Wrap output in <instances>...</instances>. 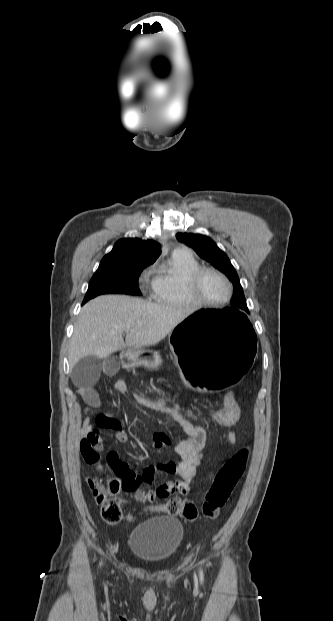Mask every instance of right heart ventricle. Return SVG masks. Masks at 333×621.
Segmentation results:
<instances>
[{"label": "right heart ventricle", "instance_id": "1", "mask_svg": "<svg viewBox=\"0 0 333 621\" xmlns=\"http://www.w3.org/2000/svg\"><path fill=\"white\" fill-rule=\"evenodd\" d=\"M200 268L187 252L176 251L155 270L151 297L154 301L172 306L194 305L187 291L190 276Z\"/></svg>", "mask_w": 333, "mask_h": 621}]
</instances>
